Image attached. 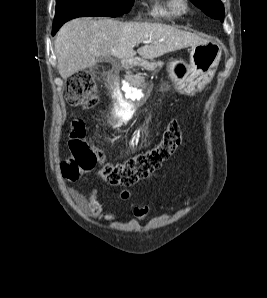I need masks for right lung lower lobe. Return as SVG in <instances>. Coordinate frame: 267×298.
Returning <instances> with one entry per match:
<instances>
[{
	"instance_id": "right-lung-lower-lobe-1",
	"label": "right lung lower lobe",
	"mask_w": 267,
	"mask_h": 298,
	"mask_svg": "<svg viewBox=\"0 0 267 298\" xmlns=\"http://www.w3.org/2000/svg\"><path fill=\"white\" fill-rule=\"evenodd\" d=\"M62 24H57V23H54L53 24V30H52V35H54L58 29L61 27Z\"/></svg>"
}]
</instances>
